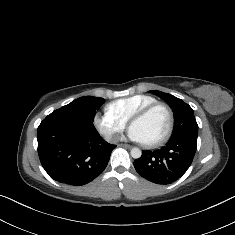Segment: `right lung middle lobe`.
<instances>
[{
    "label": "right lung middle lobe",
    "mask_w": 235,
    "mask_h": 235,
    "mask_svg": "<svg viewBox=\"0 0 235 235\" xmlns=\"http://www.w3.org/2000/svg\"><path fill=\"white\" fill-rule=\"evenodd\" d=\"M104 102L103 98L84 96L56 110L81 117L87 121L93 122L96 110Z\"/></svg>",
    "instance_id": "right-lung-middle-lobe-1"
}]
</instances>
